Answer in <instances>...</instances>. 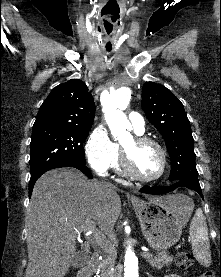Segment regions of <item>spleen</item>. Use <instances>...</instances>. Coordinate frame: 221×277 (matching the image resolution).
I'll list each match as a JSON object with an SVG mask.
<instances>
[{"mask_svg":"<svg viewBox=\"0 0 221 277\" xmlns=\"http://www.w3.org/2000/svg\"><path fill=\"white\" fill-rule=\"evenodd\" d=\"M189 234L195 258L204 266H209L211 263V252L208 229L205 216L201 210L196 211L190 224Z\"/></svg>","mask_w":221,"mask_h":277,"instance_id":"3e777b00","label":"spleen"}]
</instances>
